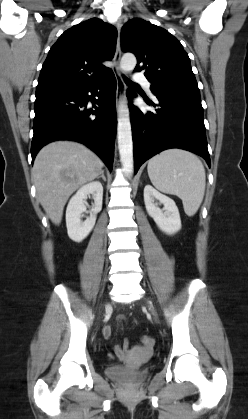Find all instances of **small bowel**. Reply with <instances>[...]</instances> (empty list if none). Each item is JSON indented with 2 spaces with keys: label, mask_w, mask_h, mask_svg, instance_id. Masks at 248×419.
I'll list each match as a JSON object with an SVG mask.
<instances>
[{
  "label": "small bowel",
  "mask_w": 248,
  "mask_h": 419,
  "mask_svg": "<svg viewBox=\"0 0 248 419\" xmlns=\"http://www.w3.org/2000/svg\"><path fill=\"white\" fill-rule=\"evenodd\" d=\"M111 335H112V330H111V328L107 327L105 329V336L107 338H110ZM129 348H130V343H129V341L127 339H125L123 341L122 347H119V346H115L114 347L113 357H115L117 359H120V360L123 359L125 357V352L128 351Z\"/></svg>",
  "instance_id": "1"
}]
</instances>
